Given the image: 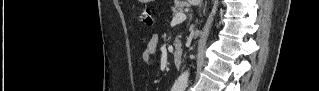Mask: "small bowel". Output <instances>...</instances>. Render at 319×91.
Returning <instances> with one entry per match:
<instances>
[{"instance_id":"obj_1","label":"small bowel","mask_w":319,"mask_h":91,"mask_svg":"<svg viewBox=\"0 0 319 91\" xmlns=\"http://www.w3.org/2000/svg\"><path fill=\"white\" fill-rule=\"evenodd\" d=\"M158 36L152 35L148 40L146 48L142 52V61L144 63H152L154 60V56L156 54V49L158 45Z\"/></svg>"}]
</instances>
